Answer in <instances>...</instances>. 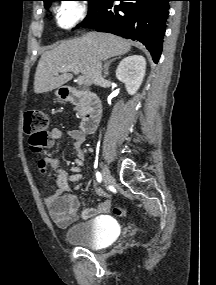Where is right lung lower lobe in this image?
<instances>
[{"instance_id":"98d812e1","label":"right lung lower lobe","mask_w":216,"mask_h":285,"mask_svg":"<svg viewBox=\"0 0 216 285\" xmlns=\"http://www.w3.org/2000/svg\"><path fill=\"white\" fill-rule=\"evenodd\" d=\"M101 0L82 27L143 43L158 62L171 0Z\"/></svg>"}]
</instances>
